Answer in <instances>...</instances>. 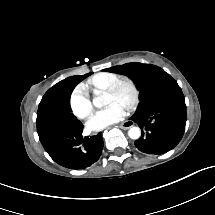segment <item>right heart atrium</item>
<instances>
[{
  "instance_id": "right-heart-atrium-1",
  "label": "right heart atrium",
  "mask_w": 215,
  "mask_h": 215,
  "mask_svg": "<svg viewBox=\"0 0 215 215\" xmlns=\"http://www.w3.org/2000/svg\"><path fill=\"white\" fill-rule=\"evenodd\" d=\"M72 109L81 117H86L91 112V105L86 101L85 94L77 91L71 100Z\"/></svg>"
}]
</instances>
